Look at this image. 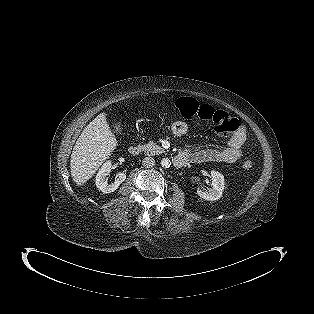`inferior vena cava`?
Returning a JSON list of instances; mask_svg holds the SVG:
<instances>
[{
  "mask_svg": "<svg viewBox=\"0 0 314 314\" xmlns=\"http://www.w3.org/2000/svg\"><path fill=\"white\" fill-rule=\"evenodd\" d=\"M142 164L145 168H152L155 165V160L152 157H145Z\"/></svg>",
  "mask_w": 314,
  "mask_h": 314,
  "instance_id": "1",
  "label": "inferior vena cava"
}]
</instances>
